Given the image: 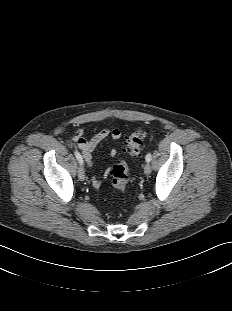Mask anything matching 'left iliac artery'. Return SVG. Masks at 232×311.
I'll use <instances>...</instances> for the list:
<instances>
[{"label": "left iliac artery", "instance_id": "1", "mask_svg": "<svg viewBox=\"0 0 232 311\" xmlns=\"http://www.w3.org/2000/svg\"><path fill=\"white\" fill-rule=\"evenodd\" d=\"M151 159H152L151 153H148V154L146 155V161H147V162H150Z\"/></svg>", "mask_w": 232, "mask_h": 311}]
</instances>
